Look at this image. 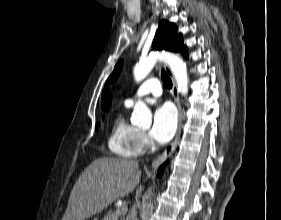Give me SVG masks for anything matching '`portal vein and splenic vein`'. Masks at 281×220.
Returning <instances> with one entry per match:
<instances>
[{"mask_svg": "<svg viewBox=\"0 0 281 220\" xmlns=\"http://www.w3.org/2000/svg\"><path fill=\"white\" fill-rule=\"evenodd\" d=\"M126 210H127V207L122 206V207L120 208V213H125Z\"/></svg>", "mask_w": 281, "mask_h": 220, "instance_id": "18ae733b", "label": "portal vein and splenic vein"}]
</instances>
